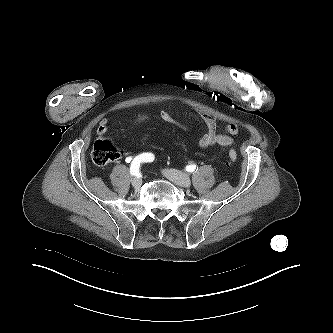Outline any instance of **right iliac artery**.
<instances>
[{
  "instance_id": "1",
  "label": "right iliac artery",
  "mask_w": 333,
  "mask_h": 333,
  "mask_svg": "<svg viewBox=\"0 0 333 333\" xmlns=\"http://www.w3.org/2000/svg\"><path fill=\"white\" fill-rule=\"evenodd\" d=\"M131 159V158H129ZM154 160V155L152 153H142L136 156L130 165V174L135 176L139 173L140 164L143 162H152ZM130 162V160H129Z\"/></svg>"
}]
</instances>
